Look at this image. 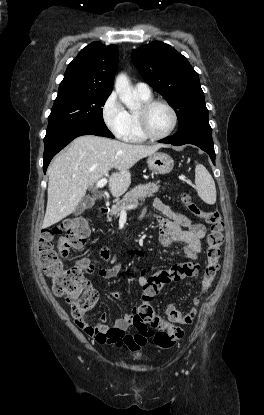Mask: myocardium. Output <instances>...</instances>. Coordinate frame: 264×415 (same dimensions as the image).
Instances as JSON below:
<instances>
[{"instance_id":"obj_1","label":"myocardium","mask_w":264,"mask_h":415,"mask_svg":"<svg viewBox=\"0 0 264 415\" xmlns=\"http://www.w3.org/2000/svg\"><path fill=\"white\" fill-rule=\"evenodd\" d=\"M162 105L165 106L170 113L172 114V124L170 128L161 135H155L150 132L148 127L147 115L149 111L157 106ZM137 119H138V128L140 134L145 138L153 141L162 140L169 137L177 127L178 124V114L175 108L165 100L161 99H151L149 101L143 102L141 107L136 111Z\"/></svg>"}]
</instances>
